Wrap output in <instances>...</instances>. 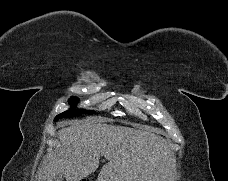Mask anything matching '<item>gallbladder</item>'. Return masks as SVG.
Instances as JSON below:
<instances>
[{
    "label": "gallbladder",
    "mask_w": 228,
    "mask_h": 181,
    "mask_svg": "<svg viewBox=\"0 0 228 181\" xmlns=\"http://www.w3.org/2000/svg\"><path fill=\"white\" fill-rule=\"evenodd\" d=\"M64 177L63 175H56L54 181H63Z\"/></svg>",
    "instance_id": "bac80fb5"
}]
</instances>
